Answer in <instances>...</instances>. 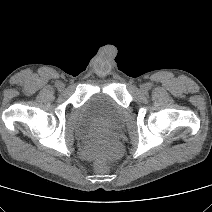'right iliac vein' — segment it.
Returning a JSON list of instances; mask_svg holds the SVG:
<instances>
[{"label": "right iliac vein", "mask_w": 212, "mask_h": 212, "mask_svg": "<svg viewBox=\"0 0 212 212\" xmlns=\"http://www.w3.org/2000/svg\"><path fill=\"white\" fill-rule=\"evenodd\" d=\"M58 89L59 90H62L63 89V85L61 83L58 85Z\"/></svg>", "instance_id": "right-iliac-vein-1"}]
</instances>
